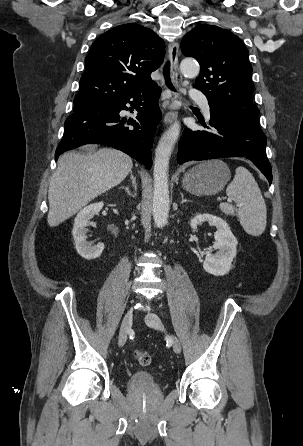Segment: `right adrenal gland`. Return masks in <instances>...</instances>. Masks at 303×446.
I'll list each match as a JSON object with an SVG mask.
<instances>
[{
  "mask_svg": "<svg viewBox=\"0 0 303 446\" xmlns=\"http://www.w3.org/2000/svg\"><path fill=\"white\" fill-rule=\"evenodd\" d=\"M130 179H131V183H132L134 192H131V190L128 186H122V189H124L128 195H131L132 197H134L136 194L137 184H136V178L134 177L132 171H130Z\"/></svg>",
  "mask_w": 303,
  "mask_h": 446,
  "instance_id": "1",
  "label": "right adrenal gland"
}]
</instances>
